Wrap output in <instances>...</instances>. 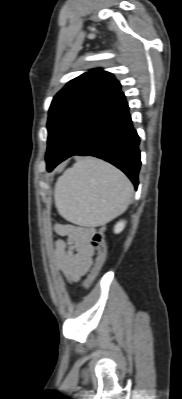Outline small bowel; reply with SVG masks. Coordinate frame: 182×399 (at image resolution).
<instances>
[{"label": "small bowel", "mask_w": 182, "mask_h": 399, "mask_svg": "<svg viewBox=\"0 0 182 399\" xmlns=\"http://www.w3.org/2000/svg\"><path fill=\"white\" fill-rule=\"evenodd\" d=\"M55 232L65 237L54 242V265L67 283L73 284L89 270L94 256L93 226L57 224Z\"/></svg>", "instance_id": "1"}]
</instances>
